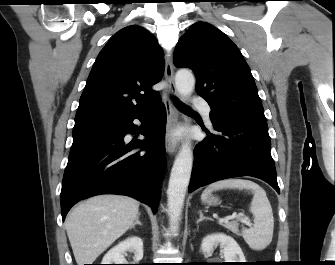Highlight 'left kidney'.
Returning <instances> with one entry per match:
<instances>
[{"mask_svg":"<svg viewBox=\"0 0 335 265\" xmlns=\"http://www.w3.org/2000/svg\"><path fill=\"white\" fill-rule=\"evenodd\" d=\"M218 244L223 247L225 262H246L238 243L234 238L223 233L211 234L203 238L201 250L204 254H209Z\"/></svg>","mask_w":335,"mask_h":265,"instance_id":"left-kidney-1","label":"left kidney"}]
</instances>
